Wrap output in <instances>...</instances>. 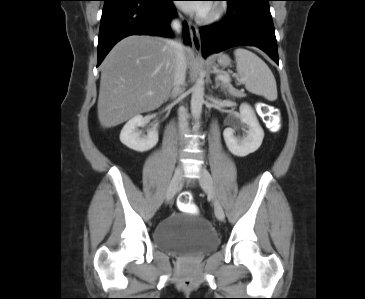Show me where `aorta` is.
I'll list each match as a JSON object with an SVG mask.
<instances>
[{"label":"aorta","instance_id":"1","mask_svg":"<svg viewBox=\"0 0 365 299\" xmlns=\"http://www.w3.org/2000/svg\"><path fill=\"white\" fill-rule=\"evenodd\" d=\"M204 80L198 78L195 85L192 88L191 97V114L195 120H199L202 113V105L204 102Z\"/></svg>","mask_w":365,"mask_h":299}]
</instances>
